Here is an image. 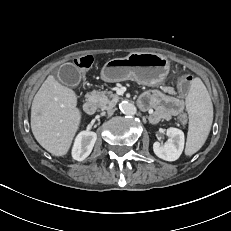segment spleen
<instances>
[{
  "label": "spleen",
  "instance_id": "3e777b00",
  "mask_svg": "<svg viewBox=\"0 0 231 231\" xmlns=\"http://www.w3.org/2000/svg\"><path fill=\"white\" fill-rule=\"evenodd\" d=\"M186 108L189 114V128L185 153H196L205 143L213 121V105L209 93L199 78L191 83L190 92L186 98Z\"/></svg>",
  "mask_w": 231,
  "mask_h": 231
}]
</instances>
